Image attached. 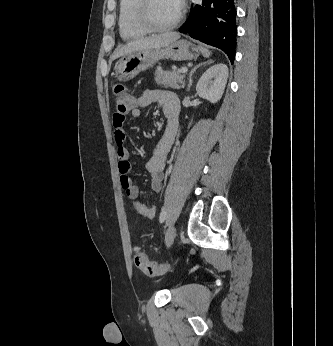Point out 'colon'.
Masks as SVG:
<instances>
[{
  "label": "colon",
  "instance_id": "5ec220e1",
  "mask_svg": "<svg viewBox=\"0 0 333 346\" xmlns=\"http://www.w3.org/2000/svg\"><path fill=\"white\" fill-rule=\"evenodd\" d=\"M114 97L116 104L114 116H121L125 121V115L135 106V100L122 84L114 86ZM133 259L136 267L147 276H160L169 269L167 264L150 261L140 248H135Z\"/></svg>",
  "mask_w": 333,
  "mask_h": 346
}]
</instances>
